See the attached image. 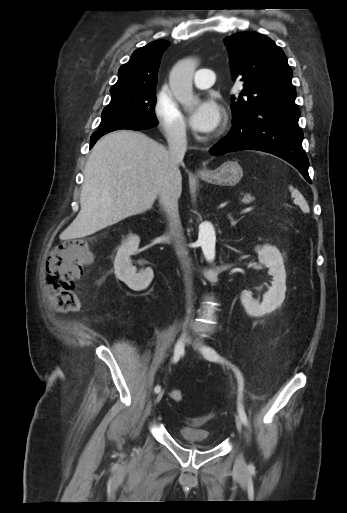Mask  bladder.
I'll return each instance as SVG.
<instances>
[{
    "mask_svg": "<svg viewBox=\"0 0 347 513\" xmlns=\"http://www.w3.org/2000/svg\"><path fill=\"white\" fill-rule=\"evenodd\" d=\"M180 438L187 446L205 451L212 450L218 445V442L212 439L209 430L191 425L183 426L180 429Z\"/></svg>",
    "mask_w": 347,
    "mask_h": 513,
    "instance_id": "31cf9c89",
    "label": "bladder"
}]
</instances>
